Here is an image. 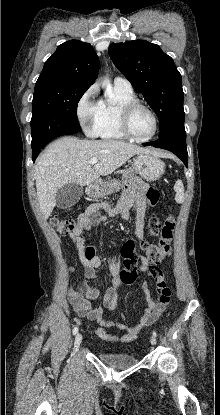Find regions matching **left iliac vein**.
I'll return each mask as SVG.
<instances>
[{"instance_id":"4c4485c4","label":"left iliac vein","mask_w":220,"mask_h":415,"mask_svg":"<svg viewBox=\"0 0 220 415\" xmlns=\"http://www.w3.org/2000/svg\"><path fill=\"white\" fill-rule=\"evenodd\" d=\"M150 342H151V344H152V345H155V344H156V339H155V337H152V338H151V340H150Z\"/></svg>"}]
</instances>
